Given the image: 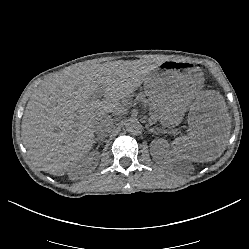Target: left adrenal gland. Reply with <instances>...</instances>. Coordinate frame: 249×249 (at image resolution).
<instances>
[{"label":"left adrenal gland","instance_id":"left-adrenal-gland-1","mask_svg":"<svg viewBox=\"0 0 249 249\" xmlns=\"http://www.w3.org/2000/svg\"><path fill=\"white\" fill-rule=\"evenodd\" d=\"M146 130H147L148 132H150V133H153L155 129L146 126Z\"/></svg>","mask_w":249,"mask_h":249}]
</instances>
